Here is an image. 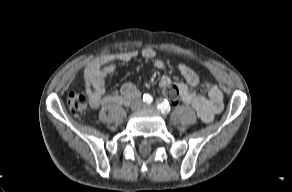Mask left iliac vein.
I'll return each instance as SVG.
<instances>
[{
	"label": "left iliac vein",
	"mask_w": 292,
	"mask_h": 192,
	"mask_svg": "<svg viewBox=\"0 0 292 192\" xmlns=\"http://www.w3.org/2000/svg\"><path fill=\"white\" fill-rule=\"evenodd\" d=\"M146 108H148V109H154L155 107L154 106H146Z\"/></svg>",
	"instance_id": "4c4485c4"
}]
</instances>
